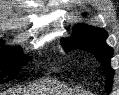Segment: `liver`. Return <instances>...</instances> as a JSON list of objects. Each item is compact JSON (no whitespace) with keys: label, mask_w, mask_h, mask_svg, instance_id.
I'll return each mask as SVG.
<instances>
[{"label":"liver","mask_w":119,"mask_h":95,"mask_svg":"<svg viewBox=\"0 0 119 95\" xmlns=\"http://www.w3.org/2000/svg\"><path fill=\"white\" fill-rule=\"evenodd\" d=\"M46 86H51L53 87L57 93H60V95H68V89L65 87H62L60 85H54L53 83L50 84H45ZM21 93H24L23 95H29L27 93H29V91L27 92H5L3 93V95H21Z\"/></svg>","instance_id":"liver-1"}]
</instances>
